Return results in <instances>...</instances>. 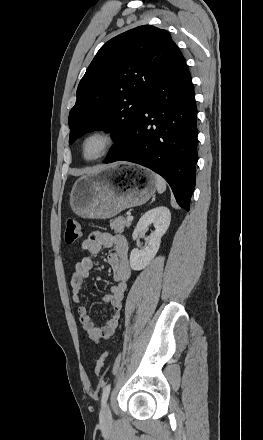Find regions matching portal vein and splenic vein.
Masks as SVG:
<instances>
[{
	"mask_svg": "<svg viewBox=\"0 0 263 440\" xmlns=\"http://www.w3.org/2000/svg\"><path fill=\"white\" fill-rule=\"evenodd\" d=\"M126 219L128 222H130L133 220V216L131 214H129Z\"/></svg>",
	"mask_w": 263,
	"mask_h": 440,
	"instance_id": "18ae733b",
	"label": "portal vein and splenic vein"
}]
</instances>
